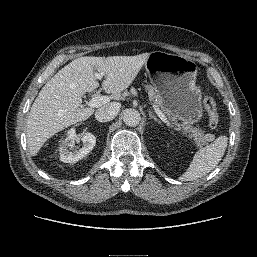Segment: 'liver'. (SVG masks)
Instances as JSON below:
<instances>
[{
	"instance_id": "6515ba94",
	"label": "liver",
	"mask_w": 257,
	"mask_h": 257,
	"mask_svg": "<svg viewBox=\"0 0 257 257\" xmlns=\"http://www.w3.org/2000/svg\"><path fill=\"white\" fill-rule=\"evenodd\" d=\"M149 54L85 56L59 70L43 86L29 112L26 136L30 154L36 156L49 138L94 113L93 108L82 105V96L99 87L95 70L105 77L102 88L110 98L122 100V91L132 84Z\"/></svg>"
}]
</instances>
